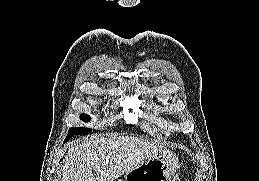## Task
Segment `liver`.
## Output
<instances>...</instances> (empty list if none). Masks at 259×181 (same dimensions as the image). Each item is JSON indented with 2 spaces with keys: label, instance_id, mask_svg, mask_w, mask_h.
<instances>
[{
  "label": "liver",
  "instance_id": "liver-1",
  "mask_svg": "<svg viewBox=\"0 0 259 181\" xmlns=\"http://www.w3.org/2000/svg\"><path fill=\"white\" fill-rule=\"evenodd\" d=\"M162 151L159 143L138 137L84 139L69 147L62 181H114Z\"/></svg>",
  "mask_w": 259,
  "mask_h": 181
}]
</instances>
